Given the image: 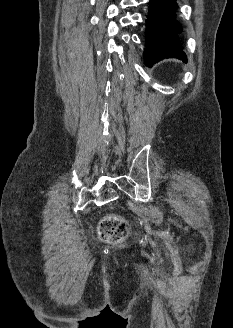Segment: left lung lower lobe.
Here are the masks:
<instances>
[{
    "label": "left lung lower lobe",
    "mask_w": 233,
    "mask_h": 328,
    "mask_svg": "<svg viewBox=\"0 0 233 328\" xmlns=\"http://www.w3.org/2000/svg\"><path fill=\"white\" fill-rule=\"evenodd\" d=\"M176 8V0H150L144 51L147 66H152L160 58L166 57L187 61L177 36L182 27L175 20Z\"/></svg>",
    "instance_id": "1"
}]
</instances>
